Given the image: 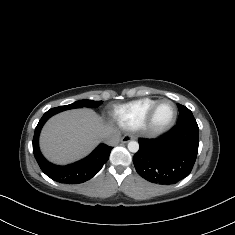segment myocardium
Returning <instances> with one entry per match:
<instances>
[{"label":"myocardium","instance_id":"myocardium-1","mask_svg":"<svg viewBox=\"0 0 235 235\" xmlns=\"http://www.w3.org/2000/svg\"><path fill=\"white\" fill-rule=\"evenodd\" d=\"M165 101H169L171 102L174 107H175V114L173 116V118L171 119V121L169 123H167L166 125L162 126V127H157L154 124V116H155V112L158 108V106ZM178 118V107L175 101L168 99V98H161L159 100H157L151 107L143 125H142V129L143 132L147 135V136H159L161 134L166 133L167 131H169L174 124L176 123Z\"/></svg>","mask_w":235,"mask_h":235}]
</instances>
